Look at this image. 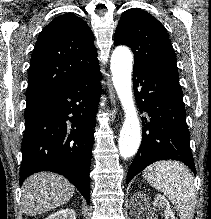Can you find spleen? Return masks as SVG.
I'll list each match as a JSON object with an SVG mask.
<instances>
[{"instance_id":"obj_1","label":"spleen","mask_w":211,"mask_h":219,"mask_svg":"<svg viewBox=\"0 0 211 219\" xmlns=\"http://www.w3.org/2000/svg\"><path fill=\"white\" fill-rule=\"evenodd\" d=\"M144 178L175 205L180 219H193L196 204L194 179L190 170L176 161L156 162L143 172Z\"/></svg>"}]
</instances>
